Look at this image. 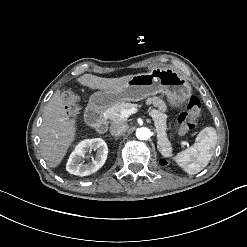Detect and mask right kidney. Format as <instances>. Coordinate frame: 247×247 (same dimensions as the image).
I'll use <instances>...</instances> for the list:
<instances>
[{"label": "right kidney", "instance_id": "obj_1", "mask_svg": "<svg viewBox=\"0 0 247 247\" xmlns=\"http://www.w3.org/2000/svg\"><path fill=\"white\" fill-rule=\"evenodd\" d=\"M96 150V156L91 162L84 163V157L87 151ZM108 147L104 140L100 138H85L76 144L71 152L67 162L66 170L70 174L77 176H87L95 173L106 161Z\"/></svg>", "mask_w": 247, "mask_h": 247}]
</instances>
